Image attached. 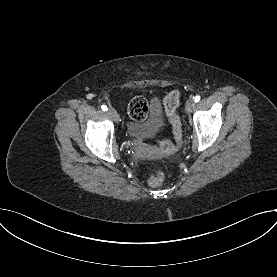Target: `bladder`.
I'll list each match as a JSON object with an SVG mask.
<instances>
[{
    "label": "bladder",
    "instance_id": "31cf9c89",
    "mask_svg": "<svg viewBox=\"0 0 277 277\" xmlns=\"http://www.w3.org/2000/svg\"><path fill=\"white\" fill-rule=\"evenodd\" d=\"M165 126L164 113L159 100L153 99L148 113L143 120H132L127 123L126 130L133 139H146L160 132Z\"/></svg>",
    "mask_w": 277,
    "mask_h": 277
}]
</instances>
